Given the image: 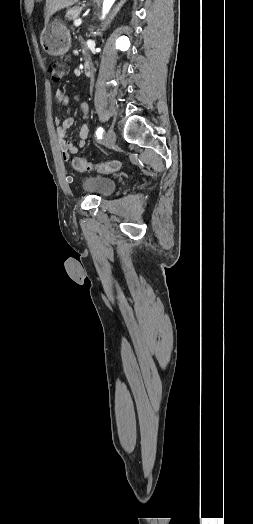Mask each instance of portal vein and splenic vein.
<instances>
[{
	"label": "portal vein and splenic vein",
	"instance_id": "18ae733b",
	"mask_svg": "<svg viewBox=\"0 0 253 524\" xmlns=\"http://www.w3.org/2000/svg\"><path fill=\"white\" fill-rule=\"evenodd\" d=\"M81 23H82V20H81V19H79V18H78V19H76V20L74 21V25H75V26H80V25H81Z\"/></svg>",
	"mask_w": 253,
	"mask_h": 524
}]
</instances>
